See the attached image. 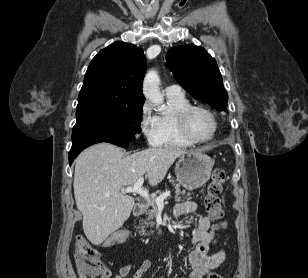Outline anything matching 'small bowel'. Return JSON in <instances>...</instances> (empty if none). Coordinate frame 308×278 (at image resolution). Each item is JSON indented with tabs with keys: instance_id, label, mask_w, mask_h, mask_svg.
Listing matches in <instances>:
<instances>
[{
	"instance_id": "c3829d8e",
	"label": "small bowel",
	"mask_w": 308,
	"mask_h": 278,
	"mask_svg": "<svg viewBox=\"0 0 308 278\" xmlns=\"http://www.w3.org/2000/svg\"><path fill=\"white\" fill-rule=\"evenodd\" d=\"M175 215H197V226L192 231L191 241L195 248L189 253V264L191 273L189 278H205L213 269L217 268L225 260V252L220 250L209 255V247L212 243L215 232L209 217L200 214L198 205L194 202H183L175 207ZM112 246V245H111ZM152 262L144 260L140 268L134 273L133 278H143L151 268ZM130 272V264L125 263L115 278H126ZM111 271L102 265L99 278H110Z\"/></svg>"
}]
</instances>
